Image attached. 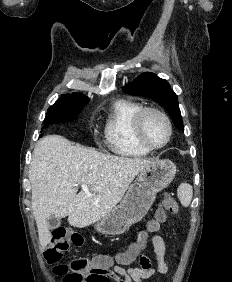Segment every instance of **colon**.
<instances>
[{
	"label": "colon",
	"mask_w": 232,
	"mask_h": 282,
	"mask_svg": "<svg viewBox=\"0 0 232 282\" xmlns=\"http://www.w3.org/2000/svg\"><path fill=\"white\" fill-rule=\"evenodd\" d=\"M179 211L178 203L171 193H167L163 200V208L157 218L153 220L147 231L140 232L137 240L123 253L118 260L129 265L136 259L141 258V251L146 247L148 234L159 229L160 223L165 220L166 212L176 215ZM83 243L81 236L69 233L66 229L59 227L52 232V241L45 252V260L53 267L55 275L62 278V282H90L95 278L102 277L110 272L111 259L99 255L93 258L79 257L73 259L69 264H57L64 252L72 246H80Z\"/></svg>",
	"instance_id": "colon-1"
}]
</instances>
